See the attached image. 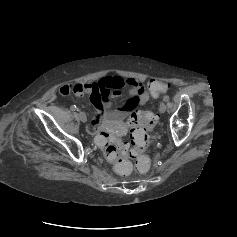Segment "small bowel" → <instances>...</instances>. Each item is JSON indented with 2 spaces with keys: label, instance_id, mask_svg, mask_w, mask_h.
I'll list each match as a JSON object with an SVG mask.
<instances>
[{
  "label": "small bowel",
  "instance_id": "1",
  "mask_svg": "<svg viewBox=\"0 0 237 237\" xmlns=\"http://www.w3.org/2000/svg\"><path fill=\"white\" fill-rule=\"evenodd\" d=\"M124 86L129 88L130 99L121 107L112 109L108 98L119 97ZM59 91L62 95L90 96L96 111L94 118L87 126L90 134H96L103 128L117 127L134 109L147 103L150 98L142 82L133 78L123 79L119 76L104 77L97 82L66 84Z\"/></svg>",
  "mask_w": 237,
  "mask_h": 237
}]
</instances>
